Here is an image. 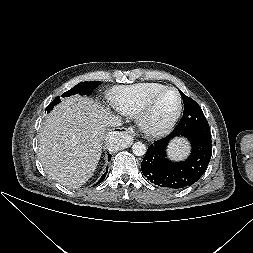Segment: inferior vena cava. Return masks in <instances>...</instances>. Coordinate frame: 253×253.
<instances>
[{"label": "inferior vena cava", "instance_id": "1", "mask_svg": "<svg viewBox=\"0 0 253 253\" xmlns=\"http://www.w3.org/2000/svg\"><path fill=\"white\" fill-rule=\"evenodd\" d=\"M107 126L109 127H119L122 125L121 118L119 116H109L106 121Z\"/></svg>", "mask_w": 253, "mask_h": 253}]
</instances>
